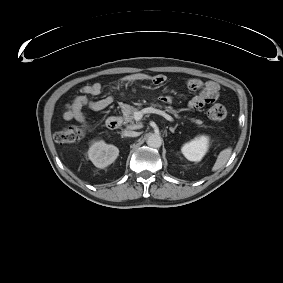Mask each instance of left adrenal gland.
<instances>
[{"label": "left adrenal gland", "mask_w": 283, "mask_h": 283, "mask_svg": "<svg viewBox=\"0 0 283 283\" xmlns=\"http://www.w3.org/2000/svg\"><path fill=\"white\" fill-rule=\"evenodd\" d=\"M178 127V124H176L174 127H169V130L174 133L175 129Z\"/></svg>", "instance_id": "obj_1"}]
</instances>
